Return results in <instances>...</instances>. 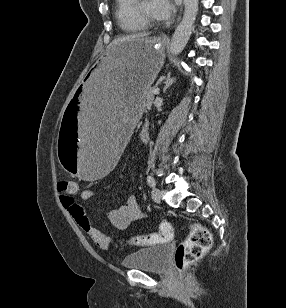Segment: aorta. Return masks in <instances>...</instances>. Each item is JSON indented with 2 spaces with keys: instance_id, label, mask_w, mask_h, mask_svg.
I'll use <instances>...</instances> for the list:
<instances>
[{
  "instance_id": "obj_1",
  "label": "aorta",
  "mask_w": 286,
  "mask_h": 308,
  "mask_svg": "<svg viewBox=\"0 0 286 308\" xmlns=\"http://www.w3.org/2000/svg\"><path fill=\"white\" fill-rule=\"evenodd\" d=\"M199 0H184V14L172 36L169 51L171 55L180 54L186 46L198 12Z\"/></svg>"
}]
</instances>
